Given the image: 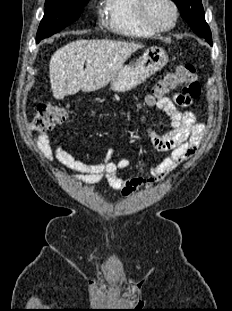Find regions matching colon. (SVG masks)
Instances as JSON below:
<instances>
[{"label":"colon","mask_w":232,"mask_h":311,"mask_svg":"<svg viewBox=\"0 0 232 311\" xmlns=\"http://www.w3.org/2000/svg\"><path fill=\"white\" fill-rule=\"evenodd\" d=\"M181 86L183 94L191 99L199 97L201 89L196 67L191 63L178 66L175 70L167 72L152 88L145 100L151 105ZM68 118L67 110L55 104L41 105L31 121V127L38 132H46L63 123Z\"/></svg>","instance_id":"colon-1"}]
</instances>
